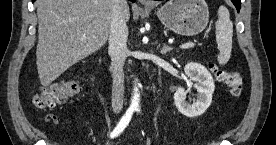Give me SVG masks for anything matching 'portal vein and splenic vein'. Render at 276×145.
Returning a JSON list of instances; mask_svg holds the SVG:
<instances>
[{
	"instance_id": "18ae733b",
	"label": "portal vein and splenic vein",
	"mask_w": 276,
	"mask_h": 145,
	"mask_svg": "<svg viewBox=\"0 0 276 145\" xmlns=\"http://www.w3.org/2000/svg\"><path fill=\"white\" fill-rule=\"evenodd\" d=\"M81 39L84 40L85 37H82ZM194 46H195V43H194V42H188V43L182 44V45L180 46V48H181V49H188V48H192V47H194Z\"/></svg>"
}]
</instances>
